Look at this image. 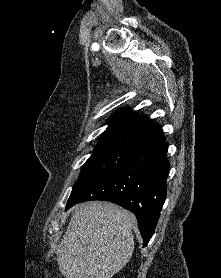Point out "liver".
<instances>
[{"label": "liver", "instance_id": "obj_1", "mask_svg": "<svg viewBox=\"0 0 221 278\" xmlns=\"http://www.w3.org/2000/svg\"><path fill=\"white\" fill-rule=\"evenodd\" d=\"M136 217L109 202L75 207L57 249L59 269L66 278H112L131 259Z\"/></svg>", "mask_w": 221, "mask_h": 278}]
</instances>
